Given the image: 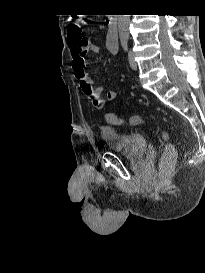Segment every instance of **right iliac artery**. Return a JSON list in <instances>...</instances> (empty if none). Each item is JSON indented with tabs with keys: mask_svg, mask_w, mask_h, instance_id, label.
Wrapping results in <instances>:
<instances>
[{
	"mask_svg": "<svg viewBox=\"0 0 205 273\" xmlns=\"http://www.w3.org/2000/svg\"><path fill=\"white\" fill-rule=\"evenodd\" d=\"M122 48H123L124 52H128V45H127V42H123V43H122Z\"/></svg>",
	"mask_w": 205,
	"mask_h": 273,
	"instance_id": "82829eb1",
	"label": "right iliac artery"
}]
</instances>
